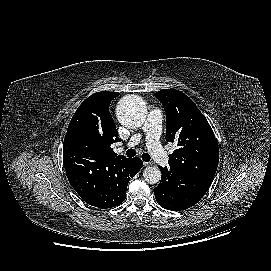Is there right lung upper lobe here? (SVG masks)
Segmentation results:
<instances>
[{"label":"right lung upper lobe","instance_id":"right-lung-upper-lobe-1","mask_svg":"<svg viewBox=\"0 0 271 271\" xmlns=\"http://www.w3.org/2000/svg\"><path fill=\"white\" fill-rule=\"evenodd\" d=\"M118 95L117 92L101 91L83 101L69 123L63 151L76 150L73 149V141L80 138L83 144L81 151L104 158H125L117 156L111 148V144L120 141L109 112L111 101Z\"/></svg>","mask_w":271,"mask_h":271}]
</instances>
